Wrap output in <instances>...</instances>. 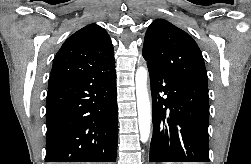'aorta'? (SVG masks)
<instances>
[{"mask_svg": "<svg viewBox=\"0 0 251 164\" xmlns=\"http://www.w3.org/2000/svg\"><path fill=\"white\" fill-rule=\"evenodd\" d=\"M148 71L145 67H138L135 74L138 124L140 139L145 143L150 135L151 105L147 89Z\"/></svg>", "mask_w": 251, "mask_h": 164, "instance_id": "762f6f07", "label": "aorta"}]
</instances>
